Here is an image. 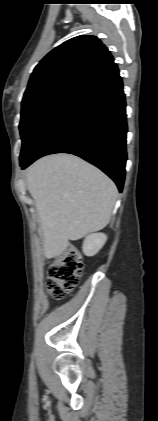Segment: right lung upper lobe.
Listing matches in <instances>:
<instances>
[{
  "label": "right lung upper lobe",
  "mask_w": 158,
  "mask_h": 421,
  "mask_svg": "<svg viewBox=\"0 0 158 421\" xmlns=\"http://www.w3.org/2000/svg\"><path fill=\"white\" fill-rule=\"evenodd\" d=\"M112 63L111 53L97 37L72 38L53 49L35 67L24 96L60 82L83 84Z\"/></svg>",
  "instance_id": "obj_1"
}]
</instances>
